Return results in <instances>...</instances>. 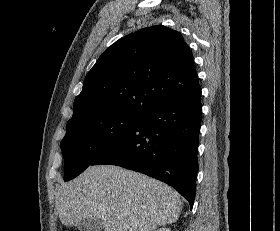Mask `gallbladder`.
<instances>
[{"mask_svg": "<svg viewBox=\"0 0 280 231\" xmlns=\"http://www.w3.org/2000/svg\"><path fill=\"white\" fill-rule=\"evenodd\" d=\"M103 227V221L99 217H89L78 223V229L80 231H100Z\"/></svg>", "mask_w": 280, "mask_h": 231, "instance_id": "obj_1", "label": "gallbladder"}]
</instances>
